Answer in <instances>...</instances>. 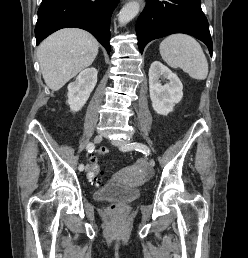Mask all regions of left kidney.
<instances>
[{
    "instance_id": "left-kidney-1",
    "label": "left kidney",
    "mask_w": 248,
    "mask_h": 258,
    "mask_svg": "<svg viewBox=\"0 0 248 258\" xmlns=\"http://www.w3.org/2000/svg\"><path fill=\"white\" fill-rule=\"evenodd\" d=\"M160 76L169 80L162 85ZM183 85L178 76L159 61H154L149 69V92L152 107L157 114L168 115L183 97Z\"/></svg>"
}]
</instances>
